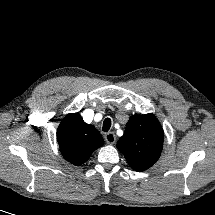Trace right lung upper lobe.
Segmentation results:
<instances>
[{
    "instance_id": "1",
    "label": "right lung upper lobe",
    "mask_w": 215,
    "mask_h": 215,
    "mask_svg": "<svg viewBox=\"0 0 215 215\" xmlns=\"http://www.w3.org/2000/svg\"><path fill=\"white\" fill-rule=\"evenodd\" d=\"M57 141L63 157L79 166L88 160L104 140L97 129L83 121L79 113L66 115L57 130Z\"/></svg>"
}]
</instances>
